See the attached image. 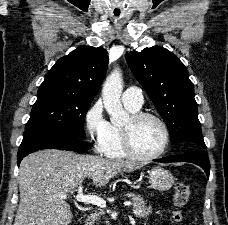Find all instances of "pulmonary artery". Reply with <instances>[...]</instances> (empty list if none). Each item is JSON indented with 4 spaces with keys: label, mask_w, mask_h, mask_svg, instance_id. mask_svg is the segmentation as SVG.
Here are the masks:
<instances>
[{
    "label": "pulmonary artery",
    "mask_w": 228,
    "mask_h": 225,
    "mask_svg": "<svg viewBox=\"0 0 228 225\" xmlns=\"http://www.w3.org/2000/svg\"><path fill=\"white\" fill-rule=\"evenodd\" d=\"M122 101L125 106L140 109L144 103V97L140 89H127L122 94Z\"/></svg>",
    "instance_id": "1"
}]
</instances>
